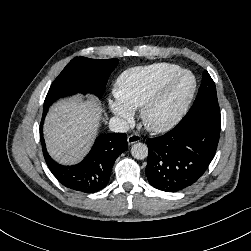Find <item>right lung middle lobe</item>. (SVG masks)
I'll list each match as a JSON object with an SVG mask.
<instances>
[{
    "label": "right lung middle lobe",
    "instance_id": "1",
    "mask_svg": "<svg viewBox=\"0 0 251 251\" xmlns=\"http://www.w3.org/2000/svg\"><path fill=\"white\" fill-rule=\"evenodd\" d=\"M118 63V59L103 60L85 57L72 59L52 83L43 110L48 109L55 100L76 93H90L101 98L108 77Z\"/></svg>",
    "mask_w": 251,
    "mask_h": 251
}]
</instances>
